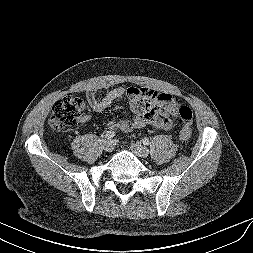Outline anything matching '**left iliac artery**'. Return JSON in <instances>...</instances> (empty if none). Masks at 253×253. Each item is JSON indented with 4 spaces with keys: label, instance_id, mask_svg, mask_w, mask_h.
<instances>
[{
    "label": "left iliac artery",
    "instance_id": "obj_1",
    "mask_svg": "<svg viewBox=\"0 0 253 253\" xmlns=\"http://www.w3.org/2000/svg\"><path fill=\"white\" fill-rule=\"evenodd\" d=\"M142 143L144 144V145H149L150 144V141H149V139L148 138H144V139H142Z\"/></svg>",
    "mask_w": 253,
    "mask_h": 253
}]
</instances>
